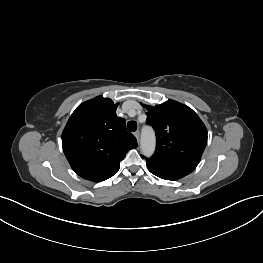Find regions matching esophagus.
<instances>
[{
  "label": "esophagus",
  "mask_w": 263,
  "mask_h": 263,
  "mask_svg": "<svg viewBox=\"0 0 263 263\" xmlns=\"http://www.w3.org/2000/svg\"><path fill=\"white\" fill-rule=\"evenodd\" d=\"M134 136L136 137L137 141H139V138H140V131L137 130L134 132Z\"/></svg>",
  "instance_id": "esophagus-1"
}]
</instances>
